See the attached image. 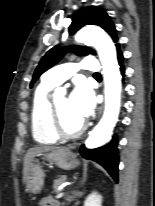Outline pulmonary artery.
Here are the masks:
<instances>
[{
	"label": "pulmonary artery",
	"mask_w": 155,
	"mask_h": 206,
	"mask_svg": "<svg viewBox=\"0 0 155 206\" xmlns=\"http://www.w3.org/2000/svg\"><path fill=\"white\" fill-rule=\"evenodd\" d=\"M79 69L96 72L99 70V64L94 57L84 58L80 62L60 64L48 70L43 75V81L56 86L69 79Z\"/></svg>",
	"instance_id": "obj_1"
}]
</instances>
